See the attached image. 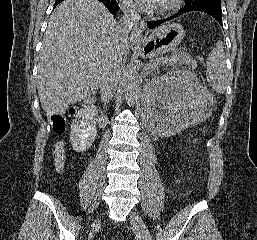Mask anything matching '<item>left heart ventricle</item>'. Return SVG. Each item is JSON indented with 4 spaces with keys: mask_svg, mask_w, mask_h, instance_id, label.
<instances>
[{
    "mask_svg": "<svg viewBox=\"0 0 257 240\" xmlns=\"http://www.w3.org/2000/svg\"><path fill=\"white\" fill-rule=\"evenodd\" d=\"M164 1H166V0H162L161 3H160V5H161Z\"/></svg>",
    "mask_w": 257,
    "mask_h": 240,
    "instance_id": "b2bd125f",
    "label": "left heart ventricle"
}]
</instances>
